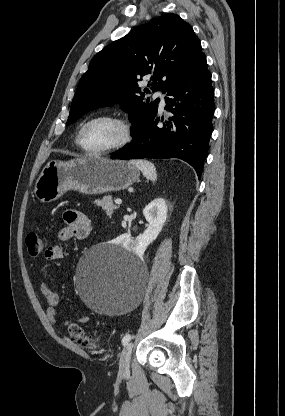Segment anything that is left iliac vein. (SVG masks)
Listing matches in <instances>:
<instances>
[{
	"label": "left iliac vein",
	"instance_id": "left-iliac-vein-1",
	"mask_svg": "<svg viewBox=\"0 0 285 416\" xmlns=\"http://www.w3.org/2000/svg\"><path fill=\"white\" fill-rule=\"evenodd\" d=\"M131 352H132V344L129 343L124 347L121 353V357L119 361V374L120 375H128L130 372L129 366H130Z\"/></svg>",
	"mask_w": 285,
	"mask_h": 416
}]
</instances>
